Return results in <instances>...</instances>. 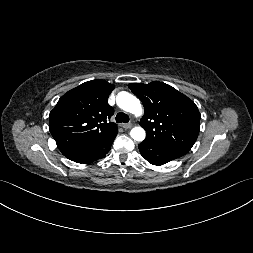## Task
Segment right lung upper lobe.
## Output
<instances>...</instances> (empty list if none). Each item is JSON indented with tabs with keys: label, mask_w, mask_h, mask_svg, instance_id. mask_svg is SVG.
<instances>
[{
	"label": "right lung upper lobe",
	"mask_w": 253,
	"mask_h": 253,
	"mask_svg": "<svg viewBox=\"0 0 253 253\" xmlns=\"http://www.w3.org/2000/svg\"><path fill=\"white\" fill-rule=\"evenodd\" d=\"M113 89L105 80H91L59 99L50 112L49 128L63 155L118 132L109 122L114 110L107 100Z\"/></svg>",
	"instance_id": "right-lung-upper-lobe-1"
}]
</instances>
